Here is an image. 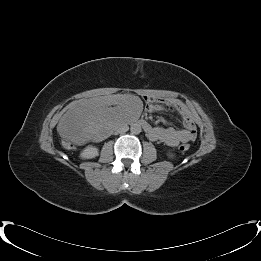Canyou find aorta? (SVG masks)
Segmentation results:
<instances>
[{"mask_svg": "<svg viewBox=\"0 0 261 261\" xmlns=\"http://www.w3.org/2000/svg\"><path fill=\"white\" fill-rule=\"evenodd\" d=\"M130 131L134 135L140 134L141 131H142L141 125L138 124V123L132 124L131 127H130Z\"/></svg>", "mask_w": 261, "mask_h": 261, "instance_id": "762f6f07", "label": "aorta"}]
</instances>
